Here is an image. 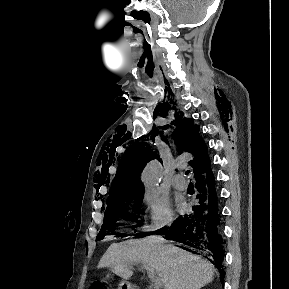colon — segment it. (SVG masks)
Instances as JSON below:
<instances>
[{
	"mask_svg": "<svg viewBox=\"0 0 289 289\" xmlns=\"http://www.w3.org/2000/svg\"><path fill=\"white\" fill-rule=\"evenodd\" d=\"M89 289H109L108 286L102 281L93 282Z\"/></svg>",
	"mask_w": 289,
	"mask_h": 289,
	"instance_id": "colon-1",
	"label": "colon"
}]
</instances>
